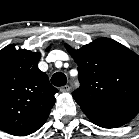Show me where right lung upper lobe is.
Here are the masks:
<instances>
[{"instance_id":"cb5924a9","label":"right lung upper lobe","mask_w":139,"mask_h":139,"mask_svg":"<svg viewBox=\"0 0 139 139\" xmlns=\"http://www.w3.org/2000/svg\"><path fill=\"white\" fill-rule=\"evenodd\" d=\"M40 57L14 44L0 51V129L8 134L24 136L37 130L55 104L57 89L39 70Z\"/></svg>"}]
</instances>
